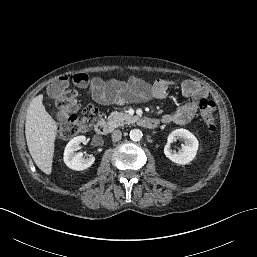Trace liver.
Instances as JSON below:
<instances>
[{"instance_id":"6515ba94","label":"liver","mask_w":257,"mask_h":257,"mask_svg":"<svg viewBox=\"0 0 257 257\" xmlns=\"http://www.w3.org/2000/svg\"><path fill=\"white\" fill-rule=\"evenodd\" d=\"M43 96L38 95L31 101L25 122V135L29 152L45 174L52 172L54 142L57 135V123L45 110Z\"/></svg>"}]
</instances>
